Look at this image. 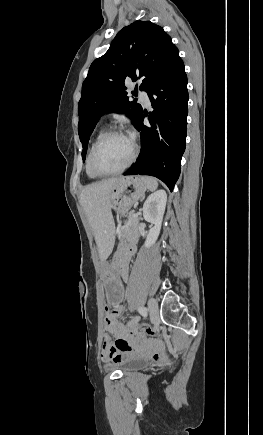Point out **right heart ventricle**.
Masks as SVG:
<instances>
[{
	"mask_svg": "<svg viewBox=\"0 0 263 435\" xmlns=\"http://www.w3.org/2000/svg\"><path fill=\"white\" fill-rule=\"evenodd\" d=\"M102 133H103V132L100 131V132L96 135V137L94 138V140H93V142H92V144H91V146H90V148H89V151H88V154H87V157H86L85 171H86L87 176H88L89 178H91V179H97V178L100 177L99 175H97L96 173H94V172L92 171V169L90 168V165H89V155H90V151H91V148H92L93 144H94L95 141L100 137V135H101Z\"/></svg>",
	"mask_w": 263,
	"mask_h": 435,
	"instance_id": "1",
	"label": "right heart ventricle"
}]
</instances>
